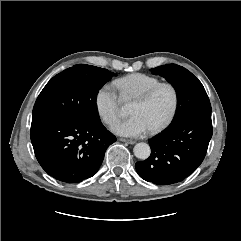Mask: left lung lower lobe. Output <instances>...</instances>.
<instances>
[{"label": "left lung lower lobe", "instance_id": "0a47b994", "mask_svg": "<svg viewBox=\"0 0 241 241\" xmlns=\"http://www.w3.org/2000/svg\"><path fill=\"white\" fill-rule=\"evenodd\" d=\"M211 137V112L192 116L150 139L151 155L136 163V171L157 185L183 181L202 163Z\"/></svg>", "mask_w": 241, "mask_h": 241}]
</instances>
